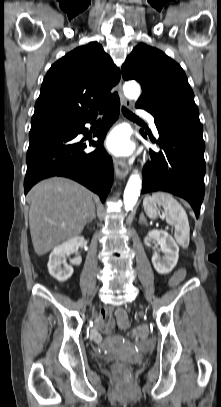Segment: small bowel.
Instances as JSON below:
<instances>
[{
	"mask_svg": "<svg viewBox=\"0 0 221 407\" xmlns=\"http://www.w3.org/2000/svg\"><path fill=\"white\" fill-rule=\"evenodd\" d=\"M119 310V309H118ZM113 312L111 308H105L101 311L99 319H98V325L99 327H104L106 330L111 331L115 327V315L117 314V311ZM91 338L95 342H100L101 341V336L97 330H93L91 332Z\"/></svg>",
	"mask_w": 221,
	"mask_h": 407,
	"instance_id": "c3829d8e",
	"label": "small bowel"
}]
</instances>
